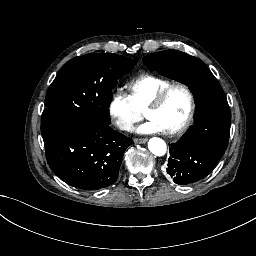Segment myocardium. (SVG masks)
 <instances>
[{
	"label": "myocardium",
	"instance_id": "1",
	"mask_svg": "<svg viewBox=\"0 0 256 256\" xmlns=\"http://www.w3.org/2000/svg\"><path fill=\"white\" fill-rule=\"evenodd\" d=\"M175 86L180 87L187 94L188 99H189V110H188V113L185 116V118L176 127H174L171 131H169L170 135H174V134L184 131L194 116L195 102H194L193 94L190 91L189 87L183 81L178 80L175 85L170 86L167 89H165L161 93V95L146 109V115L148 117H151V112L154 111L155 109H158L163 106L169 93Z\"/></svg>",
	"mask_w": 256,
	"mask_h": 256
}]
</instances>
